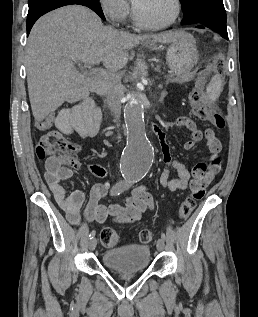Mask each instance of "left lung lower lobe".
<instances>
[{"label": "left lung lower lobe", "instance_id": "1", "mask_svg": "<svg viewBox=\"0 0 258 317\" xmlns=\"http://www.w3.org/2000/svg\"><path fill=\"white\" fill-rule=\"evenodd\" d=\"M193 25L197 28L208 27L211 30L219 33L223 38L228 39L226 25L220 23L213 16L200 18Z\"/></svg>", "mask_w": 258, "mask_h": 317}]
</instances>
